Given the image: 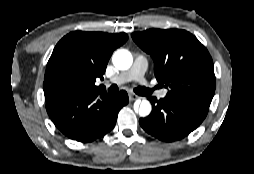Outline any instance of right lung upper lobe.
<instances>
[{
	"label": "right lung upper lobe",
	"instance_id": "obj_1",
	"mask_svg": "<svg viewBox=\"0 0 254 174\" xmlns=\"http://www.w3.org/2000/svg\"><path fill=\"white\" fill-rule=\"evenodd\" d=\"M128 39L126 33L74 31L55 46L47 63L43 90L46 101L53 98L54 89L63 82H71L83 91L105 90L96 86V78H103L113 51Z\"/></svg>",
	"mask_w": 254,
	"mask_h": 174
}]
</instances>
